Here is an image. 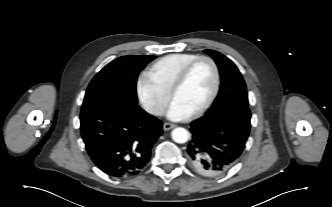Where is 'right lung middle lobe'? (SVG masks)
Returning a JSON list of instances; mask_svg holds the SVG:
<instances>
[{"instance_id":"obj_1","label":"right lung middle lobe","mask_w":332,"mask_h":207,"mask_svg":"<svg viewBox=\"0 0 332 207\" xmlns=\"http://www.w3.org/2000/svg\"><path fill=\"white\" fill-rule=\"evenodd\" d=\"M154 58L155 56L130 55L110 62L89 84L82 110L105 104L136 106L137 76Z\"/></svg>"}]
</instances>
